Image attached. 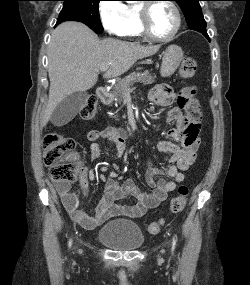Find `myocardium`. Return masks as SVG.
I'll return each instance as SVG.
<instances>
[{
    "mask_svg": "<svg viewBox=\"0 0 250 285\" xmlns=\"http://www.w3.org/2000/svg\"><path fill=\"white\" fill-rule=\"evenodd\" d=\"M156 3L157 2H144L140 4L139 6H137L141 32L143 36L149 40H152L155 42H162V43L169 42L175 38V36L178 34L182 26V15H181L180 9L172 0H163V2H158V3H165L172 8L176 16V25L173 31L168 36L166 37L156 36L152 32L151 27H150V9Z\"/></svg>",
    "mask_w": 250,
    "mask_h": 285,
    "instance_id": "myocardium-1",
    "label": "myocardium"
}]
</instances>
